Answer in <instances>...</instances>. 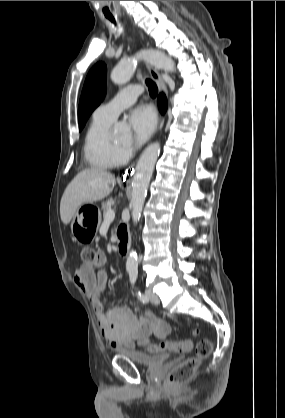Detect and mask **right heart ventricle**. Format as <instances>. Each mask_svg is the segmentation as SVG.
Listing matches in <instances>:
<instances>
[{
  "instance_id": "right-heart-ventricle-1",
  "label": "right heart ventricle",
  "mask_w": 285,
  "mask_h": 418,
  "mask_svg": "<svg viewBox=\"0 0 285 418\" xmlns=\"http://www.w3.org/2000/svg\"><path fill=\"white\" fill-rule=\"evenodd\" d=\"M111 124L112 122L93 116L86 131L83 152L93 169H109L124 160L121 150L109 138Z\"/></svg>"
}]
</instances>
